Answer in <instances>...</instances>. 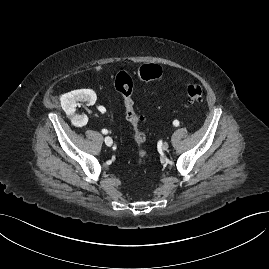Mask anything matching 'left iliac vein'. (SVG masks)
Listing matches in <instances>:
<instances>
[{"label":"left iliac vein","mask_w":269,"mask_h":269,"mask_svg":"<svg viewBox=\"0 0 269 269\" xmlns=\"http://www.w3.org/2000/svg\"><path fill=\"white\" fill-rule=\"evenodd\" d=\"M169 148V144L167 143V142H164L163 144H162V149L163 150H167Z\"/></svg>","instance_id":"obj_1"}]
</instances>
